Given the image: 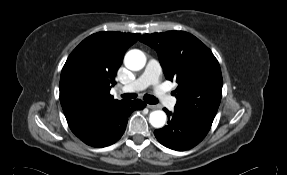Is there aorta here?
Segmentation results:
<instances>
[{"label":"aorta","instance_id":"obj_1","mask_svg":"<svg viewBox=\"0 0 287 175\" xmlns=\"http://www.w3.org/2000/svg\"><path fill=\"white\" fill-rule=\"evenodd\" d=\"M124 64L130 70H141L146 64L145 54L138 49L130 50L124 57ZM166 117L164 111L155 110L150 113L149 122L154 128H162L165 125Z\"/></svg>","mask_w":287,"mask_h":175}]
</instances>
